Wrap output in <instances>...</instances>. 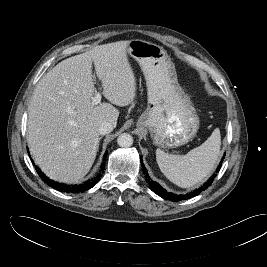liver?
<instances>
[{
  "instance_id": "obj_1",
  "label": "liver",
  "mask_w": 267,
  "mask_h": 267,
  "mask_svg": "<svg viewBox=\"0 0 267 267\" xmlns=\"http://www.w3.org/2000/svg\"><path fill=\"white\" fill-rule=\"evenodd\" d=\"M129 41L99 45L58 63L38 82L28 107V145L35 163L51 179L76 183L91 169L102 122L117 125L116 106L136 97L127 57ZM92 64L110 103L92 105Z\"/></svg>"
}]
</instances>
